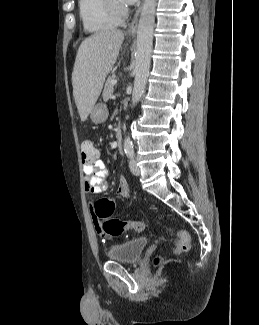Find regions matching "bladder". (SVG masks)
<instances>
[{"instance_id": "31cf9c89", "label": "bladder", "mask_w": 259, "mask_h": 325, "mask_svg": "<svg viewBox=\"0 0 259 325\" xmlns=\"http://www.w3.org/2000/svg\"><path fill=\"white\" fill-rule=\"evenodd\" d=\"M148 244L149 240L147 238H136L109 247L106 251V255L110 260L133 264L140 260Z\"/></svg>"}]
</instances>
